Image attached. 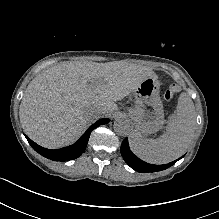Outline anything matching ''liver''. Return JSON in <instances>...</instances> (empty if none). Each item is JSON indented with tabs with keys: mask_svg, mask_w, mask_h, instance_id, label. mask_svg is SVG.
<instances>
[{
	"mask_svg": "<svg viewBox=\"0 0 219 219\" xmlns=\"http://www.w3.org/2000/svg\"><path fill=\"white\" fill-rule=\"evenodd\" d=\"M150 71L119 62H66L39 73L28 84L19 107L25 134L42 147L74 143L88 121L118 109Z\"/></svg>",
	"mask_w": 219,
	"mask_h": 219,
	"instance_id": "6515ba94",
	"label": "liver"
}]
</instances>
